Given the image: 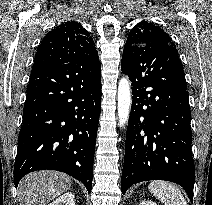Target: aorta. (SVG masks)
Instances as JSON below:
<instances>
[{"label": "aorta", "mask_w": 212, "mask_h": 205, "mask_svg": "<svg viewBox=\"0 0 212 205\" xmlns=\"http://www.w3.org/2000/svg\"><path fill=\"white\" fill-rule=\"evenodd\" d=\"M117 101L119 126L122 127L128 122L131 109L130 82L127 77H123L118 83Z\"/></svg>", "instance_id": "obj_1"}]
</instances>
